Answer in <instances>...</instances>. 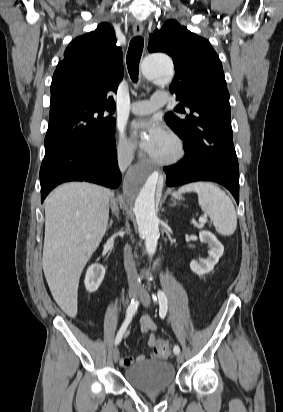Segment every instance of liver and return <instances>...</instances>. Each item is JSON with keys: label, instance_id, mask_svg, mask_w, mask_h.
<instances>
[{"label": "liver", "instance_id": "1", "mask_svg": "<svg viewBox=\"0 0 283 412\" xmlns=\"http://www.w3.org/2000/svg\"><path fill=\"white\" fill-rule=\"evenodd\" d=\"M109 189L66 183L45 200L43 271L54 300L70 317L77 314L81 273L105 235Z\"/></svg>", "mask_w": 283, "mask_h": 412}]
</instances>
